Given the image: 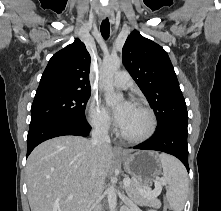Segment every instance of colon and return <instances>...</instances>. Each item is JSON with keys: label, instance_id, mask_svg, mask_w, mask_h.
<instances>
[{"label": "colon", "instance_id": "obj_1", "mask_svg": "<svg viewBox=\"0 0 221 211\" xmlns=\"http://www.w3.org/2000/svg\"><path fill=\"white\" fill-rule=\"evenodd\" d=\"M165 211H172L171 207L169 205H165Z\"/></svg>", "mask_w": 221, "mask_h": 211}]
</instances>
